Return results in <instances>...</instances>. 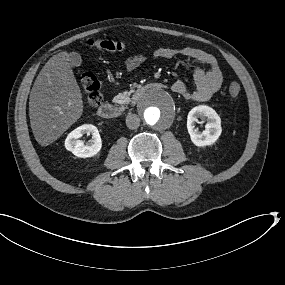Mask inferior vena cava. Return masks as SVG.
Returning a JSON list of instances; mask_svg holds the SVG:
<instances>
[{
	"label": "inferior vena cava",
	"mask_w": 285,
	"mask_h": 285,
	"mask_svg": "<svg viewBox=\"0 0 285 285\" xmlns=\"http://www.w3.org/2000/svg\"><path fill=\"white\" fill-rule=\"evenodd\" d=\"M126 125L129 129H137L140 125V118L136 114H129L126 117Z\"/></svg>",
	"instance_id": "inferior-vena-cava-1"
}]
</instances>
